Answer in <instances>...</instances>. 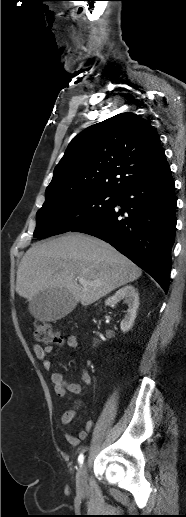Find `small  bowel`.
<instances>
[{
    "instance_id": "c3829d8e",
    "label": "small bowel",
    "mask_w": 186,
    "mask_h": 517,
    "mask_svg": "<svg viewBox=\"0 0 186 517\" xmlns=\"http://www.w3.org/2000/svg\"><path fill=\"white\" fill-rule=\"evenodd\" d=\"M66 344L71 348H76L79 345V339L76 335H69L66 340ZM32 350L36 358L42 363L44 369L49 370L51 363L47 358L48 353L52 351L51 346L42 347L39 344H34ZM82 383H69L67 382L62 374L59 372H53L51 374V381L54 385L56 394L60 397H69L71 395H77L84 391L86 387L91 384V375L87 368L82 369L81 373ZM82 406L81 402H77L74 407L66 410L61 416V423L63 426H67L74 419L77 410ZM94 422L89 420L85 424V428L81 430L77 436L70 433H65V439L71 446H77L83 440L88 437L89 432L93 429Z\"/></svg>"
}]
</instances>
